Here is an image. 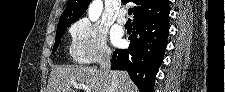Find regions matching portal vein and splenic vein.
<instances>
[{
	"label": "portal vein and splenic vein",
	"instance_id": "portal-vein-and-splenic-vein-1",
	"mask_svg": "<svg viewBox=\"0 0 225 92\" xmlns=\"http://www.w3.org/2000/svg\"><path fill=\"white\" fill-rule=\"evenodd\" d=\"M75 89H84L86 92H91V89L85 84H74Z\"/></svg>",
	"mask_w": 225,
	"mask_h": 92
}]
</instances>
